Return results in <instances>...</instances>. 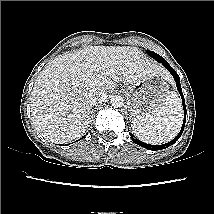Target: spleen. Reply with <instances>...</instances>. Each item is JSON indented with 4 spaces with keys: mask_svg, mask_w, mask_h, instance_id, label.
<instances>
[{
    "mask_svg": "<svg viewBox=\"0 0 214 214\" xmlns=\"http://www.w3.org/2000/svg\"><path fill=\"white\" fill-rule=\"evenodd\" d=\"M183 109L178 94L169 92L151 114L132 120V130L137 138L150 144H163L172 140L180 131Z\"/></svg>",
    "mask_w": 214,
    "mask_h": 214,
    "instance_id": "1",
    "label": "spleen"
}]
</instances>
